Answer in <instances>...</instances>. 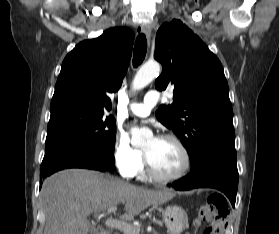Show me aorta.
Wrapping results in <instances>:
<instances>
[{"label":"aorta","instance_id":"762f6f07","mask_svg":"<svg viewBox=\"0 0 279 234\" xmlns=\"http://www.w3.org/2000/svg\"><path fill=\"white\" fill-rule=\"evenodd\" d=\"M160 70V64L157 62H148L144 64L134 77L132 89L140 90L146 87L159 75ZM148 135H150L149 130L131 128V142L133 144L143 143Z\"/></svg>","mask_w":279,"mask_h":234}]
</instances>
